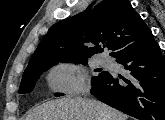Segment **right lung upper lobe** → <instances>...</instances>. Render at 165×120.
Wrapping results in <instances>:
<instances>
[{"label": "right lung upper lobe", "instance_id": "cb5924a9", "mask_svg": "<svg viewBox=\"0 0 165 120\" xmlns=\"http://www.w3.org/2000/svg\"><path fill=\"white\" fill-rule=\"evenodd\" d=\"M87 30L84 46L83 32ZM151 33L128 0H100L87 10L52 25L39 43L29 64L49 59H84L102 52L106 44L116 56Z\"/></svg>", "mask_w": 165, "mask_h": 120}]
</instances>
